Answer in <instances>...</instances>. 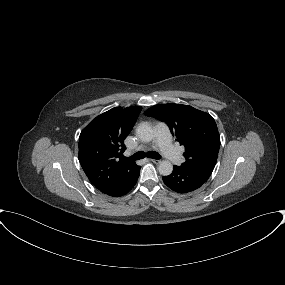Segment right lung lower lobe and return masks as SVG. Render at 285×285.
Segmentation results:
<instances>
[{"instance_id":"obj_1","label":"right lung lower lobe","mask_w":285,"mask_h":285,"mask_svg":"<svg viewBox=\"0 0 285 285\" xmlns=\"http://www.w3.org/2000/svg\"><path fill=\"white\" fill-rule=\"evenodd\" d=\"M140 168L141 167L138 166L135 172L129 178L123 180L119 184L100 191L112 197H120L127 194L136 184L140 174Z\"/></svg>"}]
</instances>
